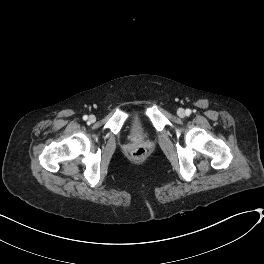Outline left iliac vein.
Instances as JSON below:
<instances>
[{"mask_svg":"<svg viewBox=\"0 0 264 264\" xmlns=\"http://www.w3.org/2000/svg\"><path fill=\"white\" fill-rule=\"evenodd\" d=\"M177 114L179 117L183 118L185 117V110L183 108H179Z\"/></svg>","mask_w":264,"mask_h":264,"instance_id":"left-iliac-vein-1","label":"left iliac vein"}]
</instances>
